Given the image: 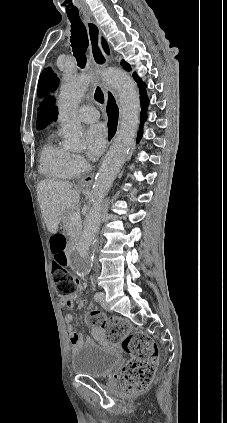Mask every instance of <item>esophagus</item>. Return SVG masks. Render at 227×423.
Wrapping results in <instances>:
<instances>
[{"mask_svg":"<svg viewBox=\"0 0 227 423\" xmlns=\"http://www.w3.org/2000/svg\"><path fill=\"white\" fill-rule=\"evenodd\" d=\"M86 27L88 32V38L90 43V55L93 63L97 68L107 67L109 64V57L105 53L102 47V32L95 22V20H86ZM103 89L105 92V112L107 115V125L109 126V134L106 136V143L112 144L116 135V128L118 129L120 123L121 110L118 103V98L106 83H103ZM117 124V127H116ZM95 173H89L84 175L78 180L79 184H91L94 181Z\"/></svg>","mask_w":227,"mask_h":423,"instance_id":"34e87169","label":"esophagus"}]
</instances>
